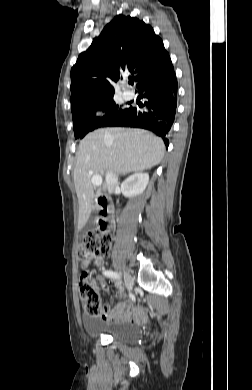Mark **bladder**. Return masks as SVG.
<instances>
[{
  "instance_id": "1",
  "label": "bladder",
  "mask_w": 252,
  "mask_h": 390,
  "mask_svg": "<svg viewBox=\"0 0 252 390\" xmlns=\"http://www.w3.org/2000/svg\"><path fill=\"white\" fill-rule=\"evenodd\" d=\"M83 324L89 336H109L127 345L136 344L143 338L141 327L135 323L85 317Z\"/></svg>"
}]
</instances>
